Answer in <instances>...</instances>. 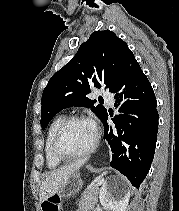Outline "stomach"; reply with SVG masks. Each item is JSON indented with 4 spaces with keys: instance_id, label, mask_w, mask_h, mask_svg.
I'll return each instance as SVG.
<instances>
[{
    "instance_id": "obj_1",
    "label": "stomach",
    "mask_w": 179,
    "mask_h": 211,
    "mask_svg": "<svg viewBox=\"0 0 179 211\" xmlns=\"http://www.w3.org/2000/svg\"><path fill=\"white\" fill-rule=\"evenodd\" d=\"M83 186V181L79 172L71 174L68 180L63 184L59 191L53 196H57L60 200L74 196ZM51 196V197H53Z\"/></svg>"
}]
</instances>
